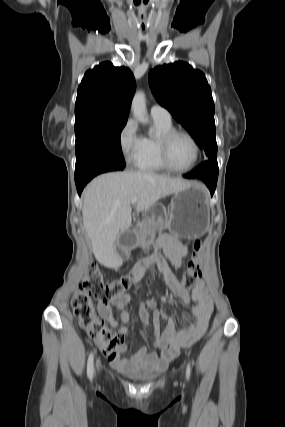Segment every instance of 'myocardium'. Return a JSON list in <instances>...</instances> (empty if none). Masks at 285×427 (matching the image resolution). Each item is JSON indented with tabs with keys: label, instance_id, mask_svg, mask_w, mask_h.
Wrapping results in <instances>:
<instances>
[{
	"label": "myocardium",
	"instance_id": "obj_1",
	"mask_svg": "<svg viewBox=\"0 0 285 427\" xmlns=\"http://www.w3.org/2000/svg\"><path fill=\"white\" fill-rule=\"evenodd\" d=\"M178 135H183V136L187 137L191 141V143L193 144L194 150H195L194 159H193L192 163L188 167L183 168V169L175 168L170 163V160H169L170 144H171L172 140ZM158 147H159V157H160L162 165L164 166L165 169H167L171 172H174V173H187V172L193 170L195 168V166L197 165L199 157H200V146H199L197 140L194 138V136L191 133H189L188 131L183 130V129L173 128V129L163 133L159 138Z\"/></svg>",
	"mask_w": 285,
	"mask_h": 427
}]
</instances>
